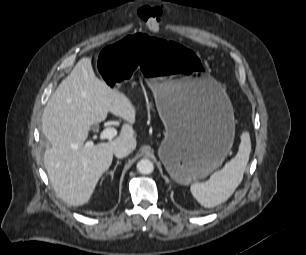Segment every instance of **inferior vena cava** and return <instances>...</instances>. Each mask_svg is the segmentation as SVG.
<instances>
[{
  "label": "inferior vena cava",
  "instance_id": "602c4592",
  "mask_svg": "<svg viewBox=\"0 0 306 255\" xmlns=\"http://www.w3.org/2000/svg\"><path fill=\"white\" fill-rule=\"evenodd\" d=\"M133 151V147L131 144L127 142L119 143L114 147V155L117 158H124L128 156Z\"/></svg>",
  "mask_w": 306,
  "mask_h": 255
}]
</instances>
